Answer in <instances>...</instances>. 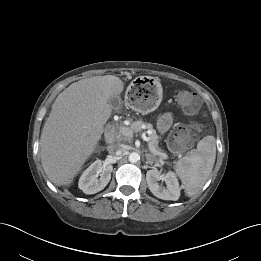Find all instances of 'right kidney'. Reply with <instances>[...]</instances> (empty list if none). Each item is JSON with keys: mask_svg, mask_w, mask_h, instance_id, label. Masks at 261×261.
I'll return each mask as SVG.
<instances>
[{"mask_svg": "<svg viewBox=\"0 0 261 261\" xmlns=\"http://www.w3.org/2000/svg\"><path fill=\"white\" fill-rule=\"evenodd\" d=\"M112 170L111 164L96 160L81 175L78 183L79 188L85 194H95L103 190L111 179Z\"/></svg>", "mask_w": 261, "mask_h": 261, "instance_id": "ca27d5eb", "label": "right kidney"}]
</instances>
